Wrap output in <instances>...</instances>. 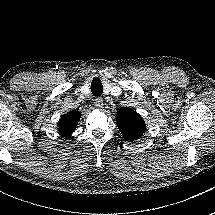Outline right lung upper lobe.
Instances as JSON below:
<instances>
[{
  "instance_id": "cb5924a9",
  "label": "right lung upper lobe",
  "mask_w": 215,
  "mask_h": 215,
  "mask_svg": "<svg viewBox=\"0 0 215 215\" xmlns=\"http://www.w3.org/2000/svg\"><path fill=\"white\" fill-rule=\"evenodd\" d=\"M81 113L71 111L62 116L58 122V131L63 137H70L75 131L76 125L80 119Z\"/></svg>"
}]
</instances>
